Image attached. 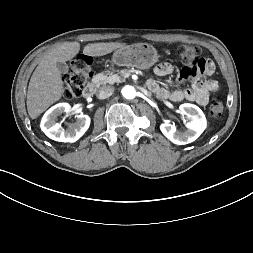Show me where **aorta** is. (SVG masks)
Returning a JSON list of instances; mask_svg holds the SVG:
<instances>
[{
  "instance_id": "762f6f07",
  "label": "aorta",
  "mask_w": 253,
  "mask_h": 253,
  "mask_svg": "<svg viewBox=\"0 0 253 253\" xmlns=\"http://www.w3.org/2000/svg\"><path fill=\"white\" fill-rule=\"evenodd\" d=\"M122 95L126 98V99H133L136 97V90L134 87L132 86H125L122 89Z\"/></svg>"
}]
</instances>
